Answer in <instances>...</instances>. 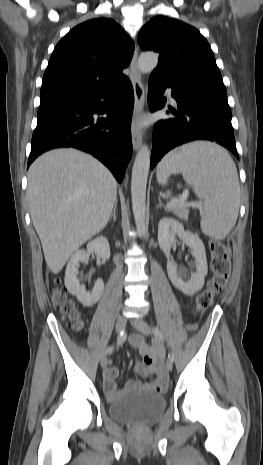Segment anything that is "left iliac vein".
<instances>
[{"instance_id": "1", "label": "left iliac vein", "mask_w": 263, "mask_h": 465, "mask_svg": "<svg viewBox=\"0 0 263 465\" xmlns=\"http://www.w3.org/2000/svg\"><path fill=\"white\" fill-rule=\"evenodd\" d=\"M131 324L137 329L139 330L141 333L145 334V335H149L150 334V328H149V325L148 323H146L144 320H142L141 318H134L131 320ZM165 366H166V369L168 371H171L173 369V362L170 360V359H167L166 360V363H165Z\"/></svg>"}]
</instances>
